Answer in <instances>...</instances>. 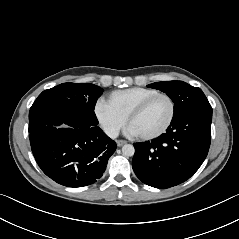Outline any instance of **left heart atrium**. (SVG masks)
<instances>
[{
    "instance_id": "1",
    "label": "left heart atrium",
    "mask_w": 239,
    "mask_h": 239,
    "mask_svg": "<svg viewBox=\"0 0 239 239\" xmlns=\"http://www.w3.org/2000/svg\"><path fill=\"white\" fill-rule=\"evenodd\" d=\"M126 132L130 136H137V133L130 126L127 127Z\"/></svg>"
}]
</instances>
